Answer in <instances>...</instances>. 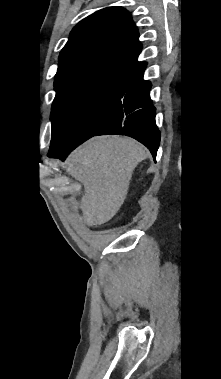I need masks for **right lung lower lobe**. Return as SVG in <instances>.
<instances>
[{"instance_id": "98d812e1", "label": "right lung lower lobe", "mask_w": 221, "mask_h": 379, "mask_svg": "<svg viewBox=\"0 0 221 379\" xmlns=\"http://www.w3.org/2000/svg\"><path fill=\"white\" fill-rule=\"evenodd\" d=\"M145 68L146 65L121 81L117 103L94 135L120 134L133 137L143 143L155 159L160 144V132L155 123V107L149 96L151 83L143 80ZM85 140L87 139L66 142L58 139L51 144L48 156L64 160Z\"/></svg>"}]
</instances>
